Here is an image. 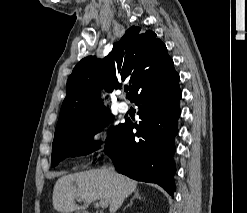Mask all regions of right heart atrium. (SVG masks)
<instances>
[{
	"label": "right heart atrium",
	"mask_w": 247,
	"mask_h": 213,
	"mask_svg": "<svg viewBox=\"0 0 247 213\" xmlns=\"http://www.w3.org/2000/svg\"><path fill=\"white\" fill-rule=\"evenodd\" d=\"M105 131L102 128L90 129L83 137V146L88 153H93L105 141Z\"/></svg>",
	"instance_id": "right-heart-atrium-1"
}]
</instances>
